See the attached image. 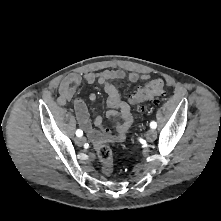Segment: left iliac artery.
I'll use <instances>...</instances> for the list:
<instances>
[{"label": "left iliac artery", "mask_w": 221, "mask_h": 221, "mask_svg": "<svg viewBox=\"0 0 221 221\" xmlns=\"http://www.w3.org/2000/svg\"><path fill=\"white\" fill-rule=\"evenodd\" d=\"M150 127H151L152 129H155V128L157 127V123H156L155 121H152V122L150 123Z\"/></svg>", "instance_id": "1"}]
</instances>
